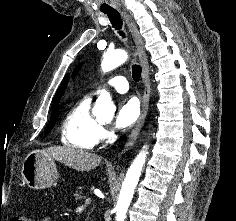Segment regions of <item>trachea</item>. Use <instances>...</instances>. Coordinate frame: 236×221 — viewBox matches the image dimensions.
<instances>
[{
	"label": "trachea",
	"instance_id": "1",
	"mask_svg": "<svg viewBox=\"0 0 236 221\" xmlns=\"http://www.w3.org/2000/svg\"><path fill=\"white\" fill-rule=\"evenodd\" d=\"M104 13L108 16L112 26L116 30L119 31V34L121 36L124 37L125 35H124L123 31L121 30L123 23H122L119 13L117 11H108V12H104ZM141 72H142V68L140 65H137V64L132 65V77H133L134 81L138 82L140 80Z\"/></svg>",
	"mask_w": 236,
	"mask_h": 221
}]
</instances>
